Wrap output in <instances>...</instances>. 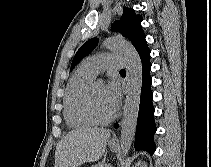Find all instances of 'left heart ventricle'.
Returning a JSON list of instances; mask_svg holds the SVG:
<instances>
[{
  "label": "left heart ventricle",
  "instance_id": "left-heart-ventricle-1",
  "mask_svg": "<svg viewBox=\"0 0 211 167\" xmlns=\"http://www.w3.org/2000/svg\"><path fill=\"white\" fill-rule=\"evenodd\" d=\"M91 104L96 115L101 118H107L114 113L105 98L102 84H94L91 93Z\"/></svg>",
  "mask_w": 211,
  "mask_h": 167
}]
</instances>
